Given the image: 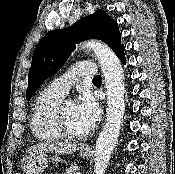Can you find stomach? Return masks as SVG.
I'll return each mask as SVG.
<instances>
[{"instance_id":"1","label":"stomach","mask_w":175,"mask_h":174,"mask_svg":"<svg viewBox=\"0 0 175 174\" xmlns=\"http://www.w3.org/2000/svg\"><path fill=\"white\" fill-rule=\"evenodd\" d=\"M79 155L82 158H88L90 156V151L80 149ZM50 160L55 163L62 161L61 157L58 155L49 157L46 153L39 152L26 156L23 159L21 167L25 174H42Z\"/></svg>"}]
</instances>
